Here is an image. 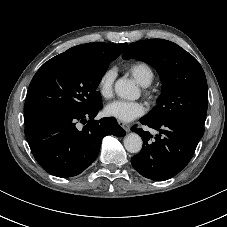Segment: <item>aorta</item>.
<instances>
[{"label": "aorta", "instance_id": "762f6f07", "mask_svg": "<svg viewBox=\"0 0 227 227\" xmlns=\"http://www.w3.org/2000/svg\"><path fill=\"white\" fill-rule=\"evenodd\" d=\"M116 94L123 99H135L138 89L135 84L127 79H119L115 83ZM142 139L136 133H129L124 139V147L130 153H138L142 148Z\"/></svg>", "mask_w": 227, "mask_h": 227}]
</instances>
